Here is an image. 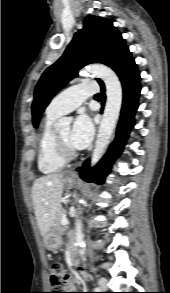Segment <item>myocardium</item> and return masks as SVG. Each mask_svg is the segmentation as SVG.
Returning <instances> with one entry per match:
<instances>
[{"instance_id":"1","label":"myocardium","mask_w":170,"mask_h":293,"mask_svg":"<svg viewBox=\"0 0 170 293\" xmlns=\"http://www.w3.org/2000/svg\"><path fill=\"white\" fill-rule=\"evenodd\" d=\"M53 144L56 155L65 160L69 161L76 157L77 153L73 148L67 147L59 138L57 131L53 133Z\"/></svg>"}]
</instances>
